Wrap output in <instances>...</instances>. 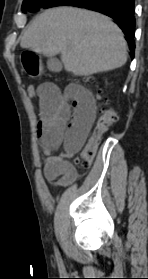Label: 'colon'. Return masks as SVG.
I'll return each mask as SVG.
<instances>
[{"label": "colon", "mask_w": 148, "mask_h": 279, "mask_svg": "<svg viewBox=\"0 0 148 279\" xmlns=\"http://www.w3.org/2000/svg\"><path fill=\"white\" fill-rule=\"evenodd\" d=\"M84 83L89 86L97 83L93 76L83 77ZM37 86L29 85L27 93L30 97L36 96ZM98 97L101 98V91H98ZM117 113L112 107L105 108L96 121L93 133L80 155L75 159V164L81 168H88L96 154L97 147L102 138V135L117 121Z\"/></svg>", "instance_id": "1"}]
</instances>
